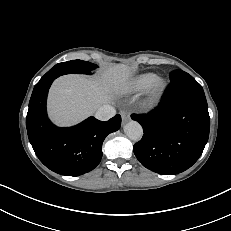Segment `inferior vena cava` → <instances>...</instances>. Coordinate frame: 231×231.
I'll return each instance as SVG.
<instances>
[{"label":"inferior vena cava","mask_w":231,"mask_h":231,"mask_svg":"<svg viewBox=\"0 0 231 231\" xmlns=\"http://www.w3.org/2000/svg\"><path fill=\"white\" fill-rule=\"evenodd\" d=\"M115 114L116 110L112 106L104 104L98 108V110L95 113V117L98 120L107 121L110 118L114 117Z\"/></svg>","instance_id":"inferior-vena-cava-1"}]
</instances>
